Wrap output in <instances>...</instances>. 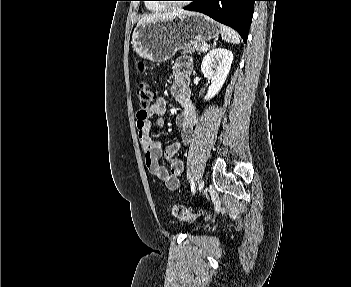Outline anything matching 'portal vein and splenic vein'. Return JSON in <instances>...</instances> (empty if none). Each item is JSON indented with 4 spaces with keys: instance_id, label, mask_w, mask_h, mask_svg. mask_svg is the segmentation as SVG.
<instances>
[{
    "instance_id": "portal-vein-and-splenic-vein-1",
    "label": "portal vein and splenic vein",
    "mask_w": 351,
    "mask_h": 287,
    "mask_svg": "<svg viewBox=\"0 0 351 287\" xmlns=\"http://www.w3.org/2000/svg\"><path fill=\"white\" fill-rule=\"evenodd\" d=\"M207 49H208V48H207V45L204 44V45H203V51H207Z\"/></svg>"
}]
</instances>
